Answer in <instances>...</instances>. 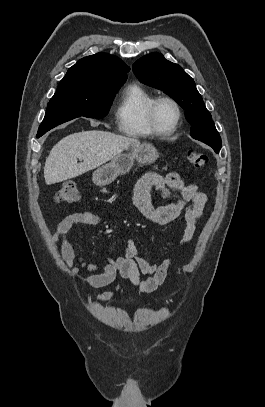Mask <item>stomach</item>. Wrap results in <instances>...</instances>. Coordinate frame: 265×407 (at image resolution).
Returning a JSON list of instances; mask_svg holds the SVG:
<instances>
[{"label":"stomach","mask_w":265,"mask_h":407,"mask_svg":"<svg viewBox=\"0 0 265 407\" xmlns=\"http://www.w3.org/2000/svg\"><path fill=\"white\" fill-rule=\"evenodd\" d=\"M158 158L156 148L149 143L132 146L129 152L116 155L110 163L94 171L92 180L98 186H105L113 182L118 176L130 171L134 161L146 165L155 162Z\"/></svg>","instance_id":"stomach-1"}]
</instances>
